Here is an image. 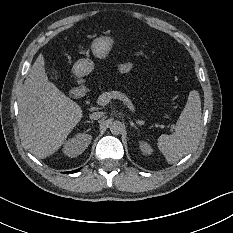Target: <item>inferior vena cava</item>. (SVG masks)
Returning <instances> with one entry per match:
<instances>
[{
    "instance_id": "inferior-vena-cava-1",
    "label": "inferior vena cava",
    "mask_w": 233,
    "mask_h": 233,
    "mask_svg": "<svg viewBox=\"0 0 233 233\" xmlns=\"http://www.w3.org/2000/svg\"><path fill=\"white\" fill-rule=\"evenodd\" d=\"M103 116H104V112L97 111V112L91 113L89 117L92 120H98V119L102 118Z\"/></svg>"
}]
</instances>
